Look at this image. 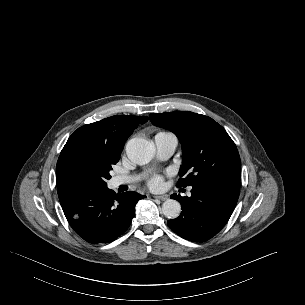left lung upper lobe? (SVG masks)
Instances as JSON below:
<instances>
[{"mask_svg":"<svg viewBox=\"0 0 305 305\" xmlns=\"http://www.w3.org/2000/svg\"><path fill=\"white\" fill-rule=\"evenodd\" d=\"M153 125L172 131L182 144L183 164L177 187L197 186L211 179L241 176L235 143L212 118L188 111L152 113Z\"/></svg>","mask_w":305,"mask_h":305,"instance_id":"obj_1","label":"left lung upper lobe"}]
</instances>
